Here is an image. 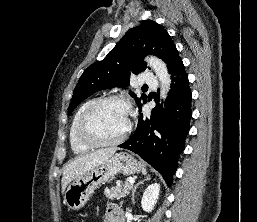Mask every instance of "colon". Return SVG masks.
<instances>
[{"label":"colon","instance_id":"obj_1","mask_svg":"<svg viewBox=\"0 0 257 222\" xmlns=\"http://www.w3.org/2000/svg\"><path fill=\"white\" fill-rule=\"evenodd\" d=\"M70 222H78L77 220H71Z\"/></svg>","mask_w":257,"mask_h":222}]
</instances>
